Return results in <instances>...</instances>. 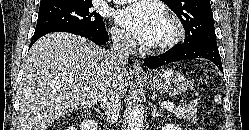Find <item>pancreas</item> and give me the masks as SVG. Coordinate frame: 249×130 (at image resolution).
Instances as JSON below:
<instances>
[{"label":"pancreas","instance_id":"obj_1","mask_svg":"<svg viewBox=\"0 0 249 130\" xmlns=\"http://www.w3.org/2000/svg\"><path fill=\"white\" fill-rule=\"evenodd\" d=\"M197 104L195 102L184 103L183 105L172 108L171 113L177 118L197 122Z\"/></svg>","mask_w":249,"mask_h":130}]
</instances>
